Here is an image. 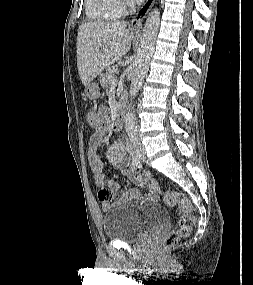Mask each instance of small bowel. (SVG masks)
Here are the masks:
<instances>
[{"mask_svg": "<svg viewBox=\"0 0 253 285\" xmlns=\"http://www.w3.org/2000/svg\"><path fill=\"white\" fill-rule=\"evenodd\" d=\"M99 116L102 120V124L95 127L96 130L92 134L89 142L88 148V159L90 166L92 168L93 177L96 185L99 188H103L106 184L114 190L119 189V185L115 182H106L103 174V164L101 159V153L106 142V136L108 132L107 122H108V110L106 108H101L99 111ZM121 172L123 175L127 176L132 187L123 192L121 201L125 200H136V201H146V202H159L161 198V192L154 179H152L147 174H142L139 176L133 175L129 170L122 168ZM133 172V171H132ZM139 187L145 189L143 194ZM103 209H108L110 207V201H103Z\"/></svg>", "mask_w": 253, "mask_h": 285, "instance_id": "1", "label": "small bowel"}]
</instances>
